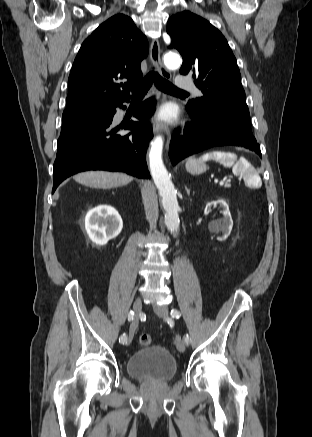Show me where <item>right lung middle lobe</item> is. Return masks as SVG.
I'll return each instance as SVG.
<instances>
[{
    "label": "right lung middle lobe",
    "instance_id": "dd1d6c3e",
    "mask_svg": "<svg viewBox=\"0 0 312 437\" xmlns=\"http://www.w3.org/2000/svg\"><path fill=\"white\" fill-rule=\"evenodd\" d=\"M110 108H80L63 113L61 134H67L108 117Z\"/></svg>",
    "mask_w": 312,
    "mask_h": 437
}]
</instances>
